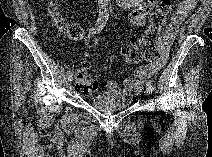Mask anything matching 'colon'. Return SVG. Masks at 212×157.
<instances>
[{"instance_id": "5ec220e1", "label": "colon", "mask_w": 212, "mask_h": 157, "mask_svg": "<svg viewBox=\"0 0 212 157\" xmlns=\"http://www.w3.org/2000/svg\"><path fill=\"white\" fill-rule=\"evenodd\" d=\"M175 0H159L149 16L150 25L146 32L123 50V57L126 64L135 65L154 59L160 55L163 37L169 38L168 34L162 31V27L173 10ZM52 20L56 28L63 32L70 40L77 41L83 38L81 27L74 23L67 22L55 11V5L50 4ZM87 44L93 46L96 43L94 38H88ZM97 80L90 71L87 64L79 68L75 76V88L80 93H88L95 90Z\"/></svg>"}]
</instances>
